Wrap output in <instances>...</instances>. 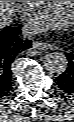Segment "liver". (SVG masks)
I'll return each instance as SVG.
<instances>
[{"label": "liver", "instance_id": "6515ba94", "mask_svg": "<svg viewBox=\"0 0 74 122\" xmlns=\"http://www.w3.org/2000/svg\"><path fill=\"white\" fill-rule=\"evenodd\" d=\"M18 7L17 1H0V27H4L10 22V16L14 8Z\"/></svg>", "mask_w": 74, "mask_h": 122}]
</instances>
